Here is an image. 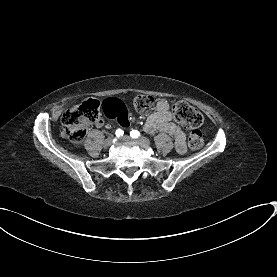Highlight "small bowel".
<instances>
[{"label": "small bowel", "mask_w": 277, "mask_h": 277, "mask_svg": "<svg viewBox=\"0 0 277 277\" xmlns=\"http://www.w3.org/2000/svg\"><path fill=\"white\" fill-rule=\"evenodd\" d=\"M104 122L100 119L96 122L97 127L103 126ZM144 131L154 133L161 131L171 134L175 139L177 151L184 153L186 150L185 132L173 121V115L170 111L169 103L165 99H160L156 102L154 112L149 114L144 124Z\"/></svg>", "instance_id": "c3829d8e"}]
</instances>
